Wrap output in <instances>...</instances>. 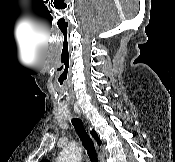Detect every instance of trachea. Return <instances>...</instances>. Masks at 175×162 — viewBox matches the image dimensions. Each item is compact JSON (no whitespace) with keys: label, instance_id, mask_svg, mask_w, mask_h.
<instances>
[{"label":"trachea","instance_id":"trachea-1","mask_svg":"<svg viewBox=\"0 0 175 162\" xmlns=\"http://www.w3.org/2000/svg\"><path fill=\"white\" fill-rule=\"evenodd\" d=\"M72 125L76 133L78 134L91 162H98L97 153L94 148V144L88 135L82 121L79 118L72 119Z\"/></svg>","mask_w":175,"mask_h":162}]
</instances>
